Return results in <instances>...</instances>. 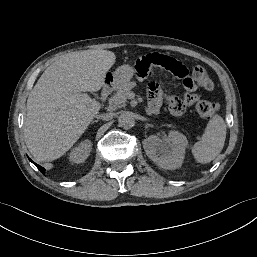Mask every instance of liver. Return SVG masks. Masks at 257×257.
<instances>
[{
	"label": "liver",
	"instance_id": "1",
	"mask_svg": "<svg viewBox=\"0 0 257 257\" xmlns=\"http://www.w3.org/2000/svg\"><path fill=\"white\" fill-rule=\"evenodd\" d=\"M116 56L107 50L68 53L41 75L27 99L24 139L38 162L63 156L85 132L100 104L86 92L100 90Z\"/></svg>",
	"mask_w": 257,
	"mask_h": 257
}]
</instances>
